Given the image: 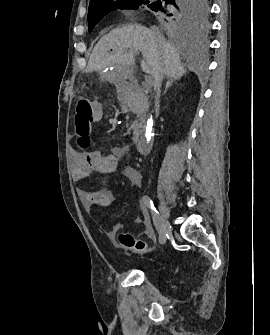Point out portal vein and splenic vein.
Returning a JSON list of instances; mask_svg holds the SVG:
<instances>
[{
    "instance_id": "18ae733b",
    "label": "portal vein and splenic vein",
    "mask_w": 270,
    "mask_h": 335,
    "mask_svg": "<svg viewBox=\"0 0 270 335\" xmlns=\"http://www.w3.org/2000/svg\"><path fill=\"white\" fill-rule=\"evenodd\" d=\"M146 86L148 88H152L154 86L153 76H150V78L147 80Z\"/></svg>"
}]
</instances>
